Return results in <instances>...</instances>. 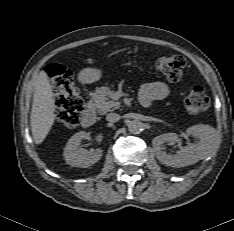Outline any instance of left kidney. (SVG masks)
<instances>
[{
  "label": "left kidney",
  "mask_w": 234,
  "mask_h": 231,
  "mask_svg": "<svg viewBox=\"0 0 234 231\" xmlns=\"http://www.w3.org/2000/svg\"><path fill=\"white\" fill-rule=\"evenodd\" d=\"M186 135L194 136L199 141L188 147H182L175 155L167 154L164 144L175 145L179 143L178 134L165 133L153 139L152 144L160 163L171 167L192 165L204 157L213 155L221 143L220 134L209 125L198 124L191 126L186 130Z\"/></svg>",
  "instance_id": "5707ae66"
}]
</instances>
